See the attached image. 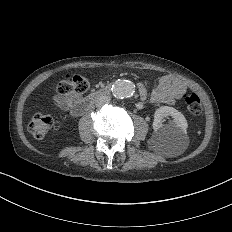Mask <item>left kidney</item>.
<instances>
[{
	"mask_svg": "<svg viewBox=\"0 0 232 232\" xmlns=\"http://www.w3.org/2000/svg\"><path fill=\"white\" fill-rule=\"evenodd\" d=\"M171 116L173 122L163 125L162 120ZM188 124L184 115L173 107L162 106L155 111L151 145L159 148L169 146H184L188 143L187 129Z\"/></svg>",
	"mask_w": 232,
	"mask_h": 232,
	"instance_id": "1",
	"label": "left kidney"
}]
</instances>
